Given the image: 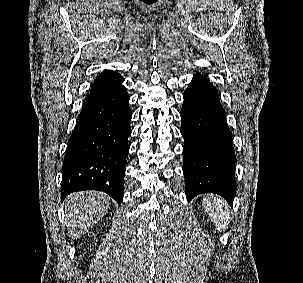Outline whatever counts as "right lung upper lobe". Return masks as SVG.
Returning a JSON list of instances; mask_svg holds the SVG:
<instances>
[{
	"instance_id": "right-lung-upper-lobe-1",
	"label": "right lung upper lobe",
	"mask_w": 303,
	"mask_h": 283,
	"mask_svg": "<svg viewBox=\"0 0 303 283\" xmlns=\"http://www.w3.org/2000/svg\"><path fill=\"white\" fill-rule=\"evenodd\" d=\"M114 74H117V73L113 72V71H107V70H105L101 74H99V76L96 78L95 81L104 79V78L109 77V76L114 75Z\"/></svg>"
}]
</instances>
